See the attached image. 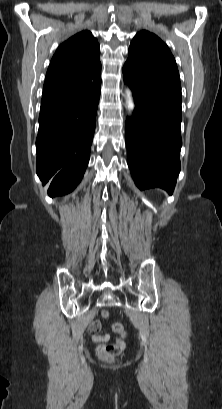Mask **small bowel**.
<instances>
[{"mask_svg": "<svg viewBox=\"0 0 222 409\" xmlns=\"http://www.w3.org/2000/svg\"><path fill=\"white\" fill-rule=\"evenodd\" d=\"M101 324L98 321H95L91 324V331L94 332L93 341L95 342H107L110 339V336L106 333H100Z\"/></svg>", "mask_w": 222, "mask_h": 409, "instance_id": "small-bowel-1", "label": "small bowel"}]
</instances>
